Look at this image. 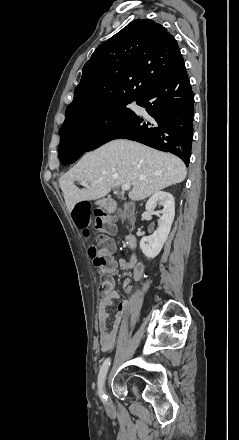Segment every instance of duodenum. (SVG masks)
I'll return each mask as SVG.
<instances>
[{
	"mask_svg": "<svg viewBox=\"0 0 239 440\" xmlns=\"http://www.w3.org/2000/svg\"><path fill=\"white\" fill-rule=\"evenodd\" d=\"M102 206L106 210L112 211L113 208H114V203L111 200H109V199H104V200H102ZM127 241H128V244H129L130 247H133L135 245V239L131 235L127 237Z\"/></svg>",
	"mask_w": 239,
	"mask_h": 440,
	"instance_id": "obj_1",
	"label": "duodenum"
}]
</instances>
